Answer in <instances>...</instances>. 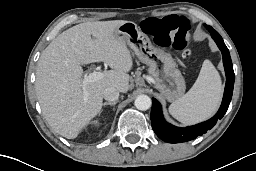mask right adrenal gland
<instances>
[{
  "mask_svg": "<svg viewBox=\"0 0 256 171\" xmlns=\"http://www.w3.org/2000/svg\"><path fill=\"white\" fill-rule=\"evenodd\" d=\"M117 103V101H114V102H105V103H103V106L105 107V106H107V105H111V106H113V109H115V104Z\"/></svg>",
  "mask_w": 256,
  "mask_h": 171,
  "instance_id": "1",
  "label": "right adrenal gland"
}]
</instances>
